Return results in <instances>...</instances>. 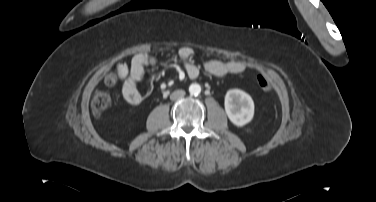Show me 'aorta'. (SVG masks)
<instances>
[{"mask_svg":"<svg viewBox=\"0 0 376 202\" xmlns=\"http://www.w3.org/2000/svg\"><path fill=\"white\" fill-rule=\"evenodd\" d=\"M189 92H190L191 95L197 96L201 92V86L197 83H192L189 86Z\"/></svg>","mask_w":376,"mask_h":202,"instance_id":"obj_1","label":"aorta"}]
</instances>
